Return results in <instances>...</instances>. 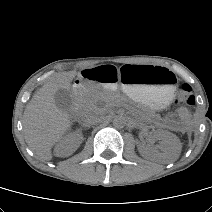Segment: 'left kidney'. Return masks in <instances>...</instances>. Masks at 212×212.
I'll list each match as a JSON object with an SVG mask.
<instances>
[{"label":"left kidney","mask_w":212,"mask_h":212,"mask_svg":"<svg viewBox=\"0 0 212 212\" xmlns=\"http://www.w3.org/2000/svg\"><path fill=\"white\" fill-rule=\"evenodd\" d=\"M154 138L160 140L161 157L166 162L175 161L181 151V143L176 135L166 130H157L154 132ZM139 153L143 157H149L154 150L144 144L138 145Z\"/></svg>","instance_id":"left-kidney-1"}]
</instances>
